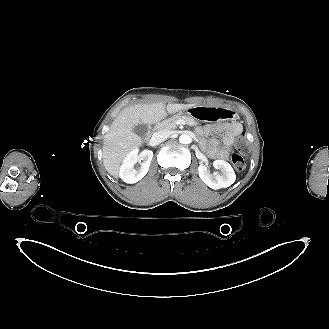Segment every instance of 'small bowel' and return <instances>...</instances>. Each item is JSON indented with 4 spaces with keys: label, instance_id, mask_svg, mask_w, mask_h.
I'll return each mask as SVG.
<instances>
[{
    "label": "small bowel",
    "instance_id": "obj_1",
    "mask_svg": "<svg viewBox=\"0 0 329 329\" xmlns=\"http://www.w3.org/2000/svg\"><path fill=\"white\" fill-rule=\"evenodd\" d=\"M205 133L212 135L208 141V149L211 156L218 159H226L231 153L236 137L242 133V127L238 123L228 125L224 130L216 126H208ZM221 135V141L216 136Z\"/></svg>",
    "mask_w": 329,
    "mask_h": 329
}]
</instances>
